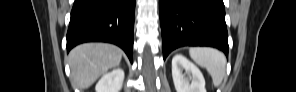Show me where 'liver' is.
I'll list each match as a JSON object with an SVG mask.
<instances>
[{
    "label": "liver",
    "mask_w": 296,
    "mask_h": 92,
    "mask_svg": "<svg viewBox=\"0 0 296 92\" xmlns=\"http://www.w3.org/2000/svg\"><path fill=\"white\" fill-rule=\"evenodd\" d=\"M122 50L108 43H84L72 49L68 56L71 80L79 89L89 88L109 69L117 67Z\"/></svg>",
    "instance_id": "liver-1"
}]
</instances>
